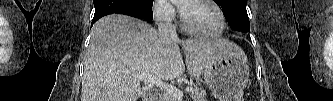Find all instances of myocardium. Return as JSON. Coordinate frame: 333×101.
Listing matches in <instances>:
<instances>
[{
	"label": "myocardium",
	"instance_id": "myocardium-1",
	"mask_svg": "<svg viewBox=\"0 0 333 101\" xmlns=\"http://www.w3.org/2000/svg\"><path fill=\"white\" fill-rule=\"evenodd\" d=\"M187 2H203V3H206V4L210 5L216 11V13L218 14L219 19H220V25H219V28L215 32H212V33H201V32L195 31L194 29H192L189 26V24L187 22V19H186V16H185L184 11H183V6H182L181 7V26H182V28L185 32H187L190 35H193V36H196V37H202V38L218 37L224 32L225 27H226L225 16H224V13L221 10V8L214 1H211V0H193V1H187Z\"/></svg>",
	"mask_w": 333,
	"mask_h": 101
}]
</instances>
